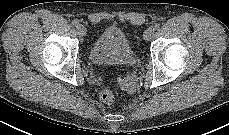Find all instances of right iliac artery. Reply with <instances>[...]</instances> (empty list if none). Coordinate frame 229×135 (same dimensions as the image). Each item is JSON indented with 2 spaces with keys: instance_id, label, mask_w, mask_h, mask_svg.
I'll return each instance as SVG.
<instances>
[{
  "instance_id": "1",
  "label": "right iliac artery",
  "mask_w": 229,
  "mask_h": 135,
  "mask_svg": "<svg viewBox=\"0 0 229 135\" xmlns=\"http://www.w3.org/2000/svg\"><path fill=\"white\" fill-rule=\"evenodd\" d=\"M72 24L75 26V27H78L80 24H79V21L77 19L73 20L72 21Z\"/></svg>"
}]
</instances>
